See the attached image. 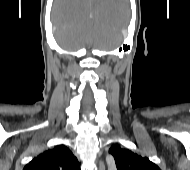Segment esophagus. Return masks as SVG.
Returning <instances> with one entry per match:
<instances>
[{
    "mask_svg": "<svg viewBox=\"0 0 190 170\" xmlns=\"http://www.w3.org/2000/svg\"><path fill=\"white\" fill-rule=\"evenodd\" d=\"M98 170H105V165L102 161L98 162Z\"/></svg>",
    "mask_w": 190,
    "mask_h": 170,
    "instance_id": "1",
    "label": "esophagus"
}]
</instances>
